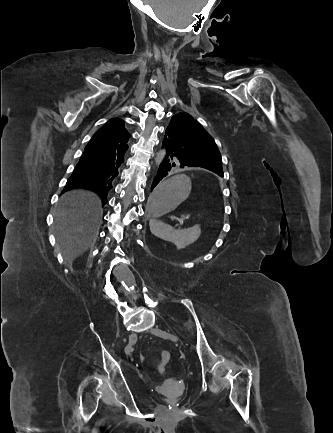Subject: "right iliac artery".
<instances>
[{"instance_id":"obj_1","label":"right iliac artery","mask_w":333,"mask_h":433,"mask_svg":"<svg viewBox=\"0 0 333 433\" xmlns=\"http://www.w3.org/2000/svg\"><path fill=\"white\" fill-rule=\"evenodd\" d=\"M128 350L125 348V352H127Z\"/></svg>"}]
</instances>
